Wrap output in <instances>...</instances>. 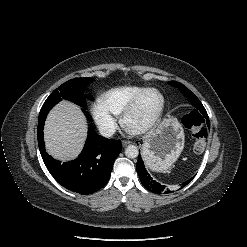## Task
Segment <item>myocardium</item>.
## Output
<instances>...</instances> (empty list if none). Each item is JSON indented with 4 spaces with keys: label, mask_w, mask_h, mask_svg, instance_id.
I'll return each instance as SVG.
<instances>
[{
    "label": "myocardium",
    "mask_w": 247,
    "mask_h": 247,
    "mask_svg": "<svg viewBox=\"0 0 247 247\" xmlns=\"http://www.w3.org/2000/svg\"><path fill=\"white\" fill-rule=\"evenodd\" d=\"M156 92L159 94L160 98H161V105L160 108L157 112V114L155 115V117L146 125H144L143 127L140 128H132L129 123H128V119L129 116L132 114V112L135 110L136 106L138 105L139 101L141 100V98L148 92ZM164 110H165V97L163 95V93L154 87H148L145 88L144 90H142L141 92H139L131 101L130 103L126 106V108L124 109V111L121 114V124L122 126L131 134L133 135H144L147 134L148 132H150L153 128H155L158 123L161 121L162 116L164 114Z\"/></svg>",
    "instance_id": "f54148a6"
}]
</instances>
